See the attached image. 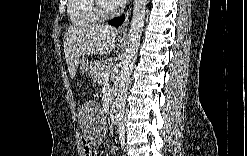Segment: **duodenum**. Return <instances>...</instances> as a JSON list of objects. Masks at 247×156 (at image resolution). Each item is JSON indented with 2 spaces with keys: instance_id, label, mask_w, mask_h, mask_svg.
Returning a JSON list of instances; mask_svg holds the SVG:
<instances>
[{
  "instance_id": "410a0bca",
  "label": "duodenum",
  "mask_w": 247,
  "mask_h": 156,
  "mask_svg": "<svg viewBox=\"0 0 247 156\" xmlns=\"http://www.w3.org/2000/svg\"><path fill=\"white\" fill-rule=\"evenodd\" d=\"M109 117L112 121L116 118V104H115V97L111 95L109 97Z\"/></svg>"
}]
</instances>
